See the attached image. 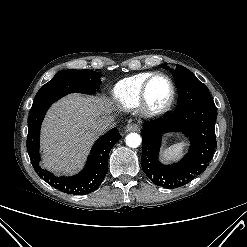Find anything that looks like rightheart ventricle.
I'll use <instances>...</instances> for the list:
<instances>
[{
    "mask_svg": "<svg viewBox=\"0 0 247 247\" xmlns=\"http://www.w3.org/2000/svg\"><path fill=\"white\" fill-rule=\"evenodd\" d=\"M152 72H143L118 81L112 89V99L121 109L130 110L140 104L141 89Z\"/></svg>",
    "mask_w": 247,
    "mask_h": 247,
    "instance_id": "right-heart-ventricle-1",
    "label": "right heart ventricle"
}]
</instances>
